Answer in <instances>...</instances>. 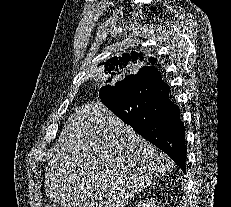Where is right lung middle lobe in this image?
Listing matches in <instances>:
<instances>
[{
	"label": "right lung middle lobe",
	"mask_w": 231,
	"mask_h": 207,
	"mask_svg": "<svg viewBox=\"0 0 231 207\" xmlns=\"http://www.w3.org/2000/svg\"><path fill=\"white\" fill-rule=\"evenodd\" d=\"M120 83H121V81L118 82L115 86H105V87H102L101 90H100V92H99V95L103 96V94L105 92H108L110 89L111 90L115 89L116 87H118L120 85Z\"/></svg>",
	"instance_id": "obj_1"
}]
</instances>
